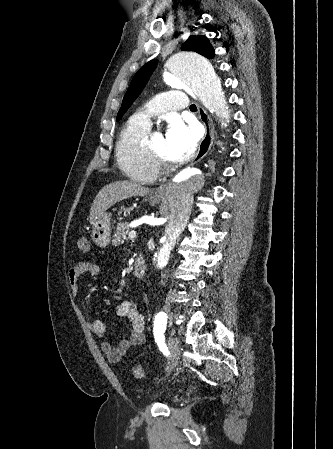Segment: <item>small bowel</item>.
I'll list each match as a JSON object with an SVG mask.
<instances>
[{
    "label": "small bowel",
    "mask_w": 333,
    "mask_h": 449,
    "mask_svg": "<svg viewBox=\"0 0 333 449\" xmlns=\"http://www.w3.org/2000/svg\"><path fill=\"white\" fill-rule=\"evenodd\" d=\"M89 273L92 276L100 274V268L90 262L81 261L69 270L68 281L71 290L76 293L80 277ZM118 316L126 319L129 325V334L124 336L116 347L108 340L101 342V350L112 363L119 362L129 349L142 345L145 342V318L143 314L130 301H121L116 306ZM90 330L97 337H104L107 333L106 325L97 319L89 324Z\"/></svg>",
    "instance_id": "1"
}]
</instances>
